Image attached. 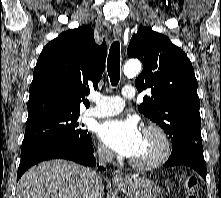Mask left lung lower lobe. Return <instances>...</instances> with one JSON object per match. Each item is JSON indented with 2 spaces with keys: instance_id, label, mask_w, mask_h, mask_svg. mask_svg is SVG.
<instances>
[{
  "instance_id": "left-lung-lower-lobe-1",
  "label": "left lung lower lobe",
  "mask_w": 221,
  "mask_h": 198,
  "mask_svg": "<svg viewBox=\"0 0 221 198\" xmlns=\"http://www.w3.org/2000/svg\"><path fill=\"white\" fill-rule=\"evenodd\" d=\"M177 165L193 168L206 180V163L204 161L203 148L192 145L173 150L165 166L172 167Z\"/></svg>"
}]
</instances>
